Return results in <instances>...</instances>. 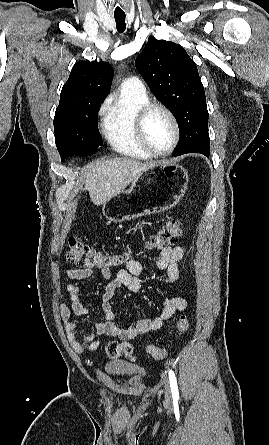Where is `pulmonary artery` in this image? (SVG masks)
Returning a JSON list of instances; mask_svg holds the SVG:
<instances>
[{"label":"pulmonary artery","instance_id":"pulmonary-artery-1","mask_svg":"<svg viewBox=\"0 0 269 445\" xmlns=\"http://www.w3.org/2000/svg\"><path fill=\"white\" fill-rule=\"evenodd\" d=\"M122 88L130 89L138 93L146 92L142 81L135 76L125 79L122 83Z\"/></svg>","mask_w":269,"mask_h":445}]
</instances>
